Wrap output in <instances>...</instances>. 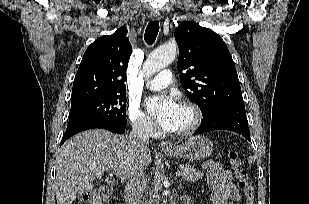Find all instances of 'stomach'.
<instances>
[{"mask_svg":"<svg viewBox=\"0 0 309 204\" xmlns=\"http://www.w3.org/2000/svg\"><path fill=\"white\" fill-rule=\"evenodd\" d=\"M213 151V143L204 136H194L181 144L174 146L172 150L165 151L169 157L183 158L190 161L207 158Z\"/></svg>","mask_w":309,"mask_h":204,"instance_id":"1","label":"stomach"}]
</instances>
